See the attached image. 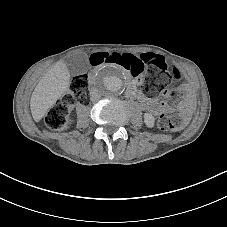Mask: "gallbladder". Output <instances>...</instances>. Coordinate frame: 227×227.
<instances>
[{
    "label": "gallbladder",
    "instance_id": "obj_1",
    "mask_svg": "<svg viewBox=\"0 0 227 227\" xmlns=\"http://www.w3.org/2000/svg\"><path fill=\"white\" fill-rule=\"evenodd\" d=\"M67 64L72 76L87 73L91 68L88 55L84 52L71 55L68 58Z\"/></svg>",
    "mask_w": 227,
    "mask_h": 227
}]
</instances>
